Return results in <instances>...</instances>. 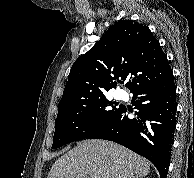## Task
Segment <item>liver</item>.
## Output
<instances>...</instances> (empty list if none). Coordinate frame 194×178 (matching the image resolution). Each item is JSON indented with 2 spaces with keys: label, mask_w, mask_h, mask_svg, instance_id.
Instances as JSON below:
<instances>
[{
  "label": "liver",
  "mask_w": 194,
  "mask_h": 178,
  "mask_svg": "<svg viewBox=\"0 0 194 178\" xmlns=\"http://www.w3.org/2000/svg\"><path fill=\"white\" fill-rule=\"evenodd\" d=\"M150 163L129 149L110 141L85 140L62 155L52 166L48 178H141Z\"/></svg>",
  "instance_id": "liver-1"
}]
</instances>
